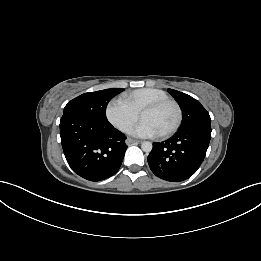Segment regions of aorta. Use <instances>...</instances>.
Returning <instances> with one entry per match:
<instances>
[{
    "label": "aorta",
    "instance_id": "obj_1",
    "mask_svg": "<svg viewBox=\"0 0 261 261\" xmlns=\"http://www.w3.org/2000/svg\"><path fill=\"white\" fill-rule=\"evenodd\" d=\"M141 148L144 152L149 153V152H151L153 146H152L151 142L145 141L142 143Z\"/></svg>",
    "mask_w": 261,
    "mask_h": 261
}]
</instances>
